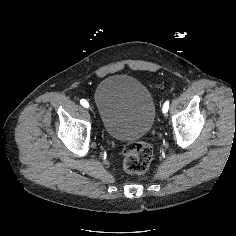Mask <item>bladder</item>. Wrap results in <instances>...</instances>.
Wrapping results in <instances>:
<instances>
[{"label": "bladder", "mask_w": 236, "mask_h": 236, "mask_svg": "<svg viewBox=\"0 0 236 236\" xmlns=\"http://www.w3.org/2000/svg\"><path fill=\"white\" fill-rule=\"evenodd\" d=\"M94 102L102 129L114 140L136 141L152 127L155 103L136 78L126 75L105 78L95 91Z\"/></svg>", "instance_id": "obj_1"}]
</instances>
